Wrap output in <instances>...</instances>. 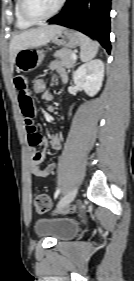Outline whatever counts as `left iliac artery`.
Wrapping results in <instances>:
<instances>
[{"label": "left iliac artery", "mask_w": 134, "mask_h": 281, "mask_svg": "<svg viewBox=\"0 0 134 281\" xmlns=\"http://www.w3.org/2000/svg\"><path fill=\"white\" fill-rule=\"evenodd\" d=\"M60 194V188H58L54 194V199H56L58 197V195Z\"/></svg>", "instance_id": "44dca946"}]
</instances>
